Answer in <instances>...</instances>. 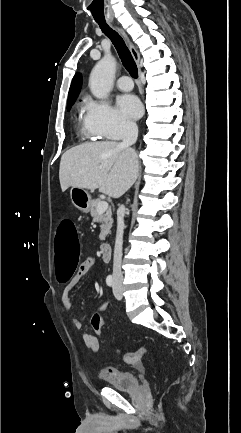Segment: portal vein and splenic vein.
Instances as JSON below:
<instances>
[{"label":"portal vein and splenic vein","mask_w":241,"mask_h":433,"mask_svg":"<svg viewBox=\"0 0 241 433\" xmlns=\"http://www.w3.org/2000/svg\"><path fill=\"white\" fill-rule=\"evenodd\" d=\"M107 209H108V202L106 201H101L97 206V212L99 214L104 213Z\"/></svg>","instance_id":"1"}]
</instances>
